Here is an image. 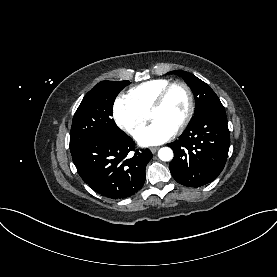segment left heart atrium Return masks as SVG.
<instances>
[{"label": "left heart atrium", "mask_w": 277, "mask_h": 277, "mask_svg": "<svg viewBox=\"0 0 277 277\" xmlns=\"http://www.w3.org/2000/svg\"><path fill=\"white\" fill-rule=\"evenodd\" d=\"M175 132L176 128L172 125L162 120H155L137 133L136 140L142 146L158 145L170 139Z\"/></svg>", "instance_id": "39dd6f15"}]
</instances>
